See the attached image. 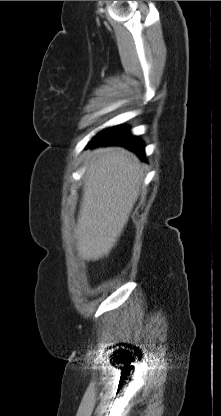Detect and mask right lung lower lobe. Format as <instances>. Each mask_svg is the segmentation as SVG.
<instances>
[{"mask_svg":"<svg viewBox=\"0 0 221 416\" xmlns=\"http://www.w3.org/2000/svg\"><path fill=\"white\" fill-rule=\"evenodd\" d=\"M99 145H121L136 152L142 160H145L144 143L138 137L132 136L126 126H115L100 132L89 142L87 148Z\"/></svg>","mask_w":221,"mask_h":416,"instance_id":"obj_1","label":"right lung lower lobe"}]
</instances>
